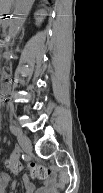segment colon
<instances>
[{"label": "colon", "mask_w": 103, "mask_h": 193, "mask_svg": "<svg viewBox=\"0 0 103 193\" xmlns=\"http://www.w3.org/2000/svg\"><path fill=\"white\" fill-rule=\"evenodd\" d=\"M7 164L8 167L13 171H18L22 168L21 164L16 159L13 158L8 160ZM28 169L30 171L31 176L34 179L46 180L51 177L50 170L42 164L30 162L28 164Z\"/></svg>", "instance_id": "5ec220e1"}]
</instances>
